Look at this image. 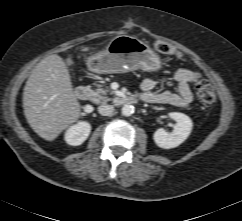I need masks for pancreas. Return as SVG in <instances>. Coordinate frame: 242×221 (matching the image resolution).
<instances>
[{"instance_id":"obj_1","label":"pancreas","mask_w":242,"mask_h":221,"mask_svg":"<svg viewBox=\"0 0 242 221\" xmlns=\"http://www.w3.org/2000/svg\"><path fill=\"white\" fill-rule=\"evenodd\" d=\"M96 86L98 88L93 91V94H92L93 97L91 99L93 102H95V103H106V102L111 101V100H113V101L116 100V98L111 99L107 96V93L109 92L108 88L107 89L100 88L101 85H99V84H96ZM110 94H114V92L111 91Z\"/></svg>"}]
</instances>
